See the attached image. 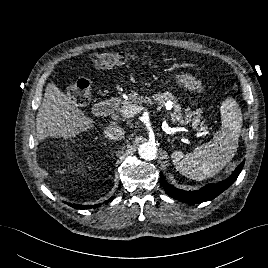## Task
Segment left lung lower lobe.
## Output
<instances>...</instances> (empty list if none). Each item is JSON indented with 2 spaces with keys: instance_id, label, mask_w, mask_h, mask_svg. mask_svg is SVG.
Wrapping results in <instances>:
<instances>
[{
  "instance_id": "1",
  "label": "left lung lower lobe",
  "mask_w": 268,
  "mask_h": 268,
  "mask_svg": "<svg viewBox=\"0 0 268 268\" xmlns=\"http://www.w3.org/2000/svg\"><path fill=\"white\" fill-rule=\"evenodd\" d=\"M244 162L245 161L238 165L232 175L226 180H223L217 184H208L197 191H184L169 185L164 179L162 172L160 173V184L169 196L179 201L190 204L209 201L217 197L235 182L244 166Z\"/></svg>"
}]
</instances>
